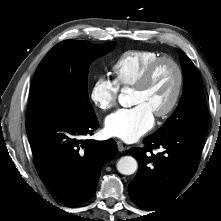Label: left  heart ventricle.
Listing matches in <instances>:
<instances>
[{"label": "left heart ventricle", "instance_id": "b2bd125f", "mask_svg": "<svg viewBox=\"0 0 221 221\" xmlns=\"http://www.w3.org/2000/svg\"><path fill=\"white\" fill-rule=\"evenodd\" d=\"M177 81L174 67L161 64L143 89H133L132 104L145 105L153 114L162 111L170 102Z\"/></svg>", "mask_w": 221, "mask_h": 221}]
</instances>
